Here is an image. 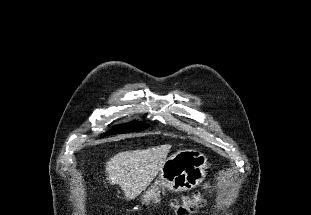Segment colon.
<instances>
[{
	"label": "colon",
	"mask_w": 311,
	"mask_h": 215,
	"mask_svg": "<svg viewBox=\"0 0 311 215\" xmlns=\"http://www.w3.org/2000/svg\"><path fill=\"white\" fill-rule=\"evenodd\" d=\"M205 203L203 194L197 193L190 198L172 201L171 207L174 215H190Z\"/></svg>",
	"instance_id": "colon-1"
}]
</instances>
